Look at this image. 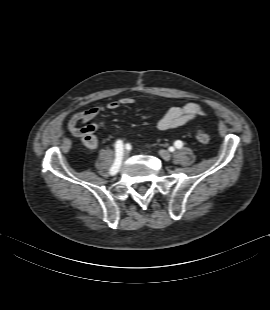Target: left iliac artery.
<instances>
[{
	"label": "left iliac artery",
	"instance_id": "obj_1",
	"mask_svg": "<svg viewBox=\"0 0 270 310\" xmlns=\"http://www.w3.org/2000/svg\"><path fill=\"white\" fill-rule=\"evenodd\" d=\"M182 146H183L182 141H180V140L175 141V147L176 148L180 149V148H182Z\"/></svg>",
	"mask_w": 270,
	"mask_h": 310
}]
</instances>
